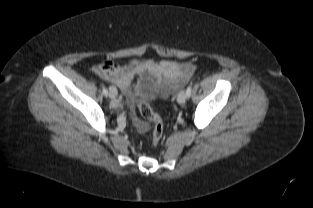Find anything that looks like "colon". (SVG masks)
<instances>
[{"label":"colon","mask_w":313,"mask_h":208,"mask_svg":"<svg viewBox=\"0 0 313 208\" xmlns=\"http://www.w3.org/2000/svg\"><path fill=\"white\" fill-rule=\"evenodd\" d=\"M138 111L143 118L152 123V144L153 146H157L163 136V123L161 117L153 110L149 103L144 101L139 102Z\"/></svg>","instance_id":"1"}]
</instances>
